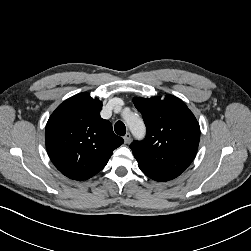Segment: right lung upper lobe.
Here are the masks:
<instances>
[{
	"label": "right lung upper lobe",
	"mask_w": 251,
	"mask_h": 251,
	"mask_svg": "<svg viewBox=\"0 0 251 251\" xmlns=\"http://www.w3.org/2000/svg\"><path fill=\"white\" fill-rule=\"evenodd\" d=\"M102 102L88 93L65 100L50 116L45 143L56 168L74 180H86L101 171L113 150L124 140L100 116Z\"/></svg>",
	"instance_id": "1"
}]
</instances>
